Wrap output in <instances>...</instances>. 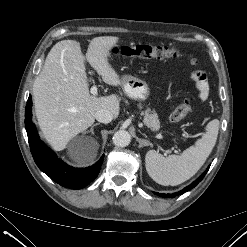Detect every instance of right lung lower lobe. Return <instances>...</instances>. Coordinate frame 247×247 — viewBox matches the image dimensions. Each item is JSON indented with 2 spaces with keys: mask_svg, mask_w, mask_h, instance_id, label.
Masks as SVG:
<instances>
[{
  "mask_svg": "<svg viewBox=\"0 0 247 247\" xmlns=\"http://www.w3.org/2000/svg\"><path fill=\"white\" fill-rule=\"evenodd\" d=\"M25 127L28 135L30 150L37 166L53 181L70 189H81L93 181L101 168L104 155L93 166L87 168H74L58 159L38 136L32 122V99L29 96L25 109Z\"/></svg>",
  "mask_w": 247,
  "mask_h": 247,
  "instance_id": "obj_1",
  "label": "right lung lower lobe"
}]
</instances>
